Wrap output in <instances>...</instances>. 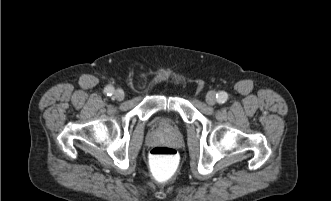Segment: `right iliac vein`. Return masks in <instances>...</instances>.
<instances>
[{
    "label": "right iliac vein",
    "instance_id": "1",
    "mask_svg": "<svg viewBox=\"0 0 331 201\" xmlns=\"http://www.w3.org/2000/svg\"><path fill=\"white\" fill-rule=\"evenodd\" d=\"M114 97L118 101H122L125 97L124 91L122 89H117L114 93Z\"/></svg>",
    "mask_w": 331,
    "mask_h": 201
}]
</instances>
